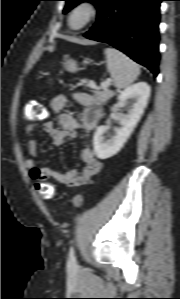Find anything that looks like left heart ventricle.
<instances>
[{"label":"left heart ventricle","mask_w":180,"mask_h":299,"mask_svg":"<svg viewBox=\"0 0 180 299\" xmlns=\"http://www.w3.org/2000/svg\"><path fill=\"white\" fill-rule=\"evenodd\" d=\"M85 17H86V13H85L84 10L77 11L74 14L73 19H72L73 25H79V24H81L84 21Z\"/></svg>","instance_id":"obj_1"}]
</instances>
